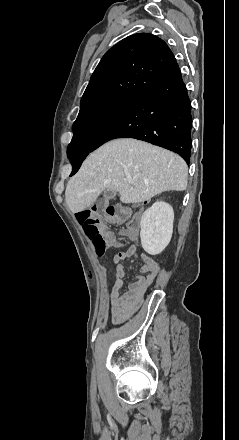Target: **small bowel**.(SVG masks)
<instances>
[{"instance_id":"small-bowel-1","label":"small bowel","mask_w":239,"mask_h":440,"mask_svg":"<svg viewBox=\"0 0 239 440\" xmlns=\"http://www.w3.org/2000/svg\"><path fill=\"white\" fill-rule=\"evenodd\" d=\"M138 256V246L131 245L127 250L120 251L114 256L116 264L115 279L110 293L111 298V317L114 323H121L133 315L141 305L145 293L150 285L154 282L158 272L159 264L154 258L146 253H142L141 257L144 261L140 269L142 275L136 276L135 280L128 285L126 292L121 293L125 276L123 262L128 258Z\"/></svg>"}]
</instances>
